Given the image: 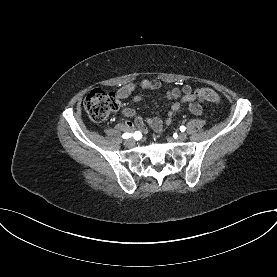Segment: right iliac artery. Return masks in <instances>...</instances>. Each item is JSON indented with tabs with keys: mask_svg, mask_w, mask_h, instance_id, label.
I'll list each match as a JSON object with an SVG mask.
<instances>
[{
	"mask_svg": "<svg viewBox=\"0 0 277 277\" xmlns=\"http://www.w3.org/2000/svg\"><path fill=\"white\" fill-rule=\"evenodd\" d=\"M134 135H137V136H141V134L139 133V132H136ZM132 135L130 134V133H124L123 135H122V137L124 138V139H128V138H130Z\"/></svg>",
	"mask_w": 277,
	"mask_h": 277,
	"instance_id": "obj_1",
	"label": "right iliac artery"
}]
</instances>
